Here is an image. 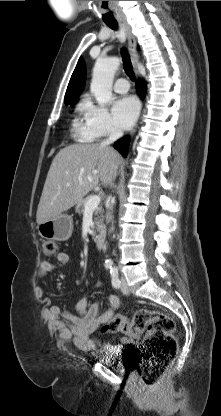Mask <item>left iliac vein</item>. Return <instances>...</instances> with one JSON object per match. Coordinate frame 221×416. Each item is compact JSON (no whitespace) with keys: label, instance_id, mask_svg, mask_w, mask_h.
I'll list each match as a JSON object with an SVG mask.
<instances>
[{"label":"left iliac vein","instance_id":"4c4485c4","mask_svg":"<svg viewBox=\"0 0 221 416\" xmlns=\"http://www.w3.org/2000/svg\"><path fill=\"white\" fill-rule=\"evenodd\" d=\"M121 291L123 294H129L130 290L128 288L126 279L124 277L121 278Z\"/></svg>","mask_w":221,"mask_h":416}]
</instances>
